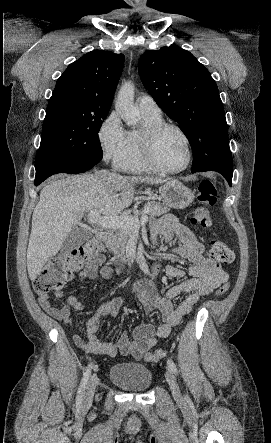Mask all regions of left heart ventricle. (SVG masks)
<instances>
[{
	"label": "left heart ventricle",
	"mask_w": 271,
	"mask_h": 443,
	"mask_svg": "<svg viewBox=\"0 0 271 443\" xmlns=\"http://www.w3.org/2000/svg\"><path fill=\"white\" fill-rule=\"evenodd\" d=\"M156 154L165 167L182 166L188 157V150L183 137L174 129H166L157 139Z\"/></svg>",
	"instance_id": "1"
}]
</instances>
